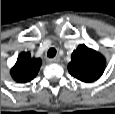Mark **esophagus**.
Here are the masks:
<instances>
[{"label": "esophagus", "mask_w": 115, "mask_h": 114, "mask_svg": "<svg viewBox=\"0 0 115 114\" xmlns=\"http://www.w3.org/2000/svg\"><path fill=\"white\" fill-rule=\"evenodd\" d=\"M50 63H59L60 62V58L59 57H54L48 60Z\"/></svg>", "instance_id": "1"}]
</instances>
